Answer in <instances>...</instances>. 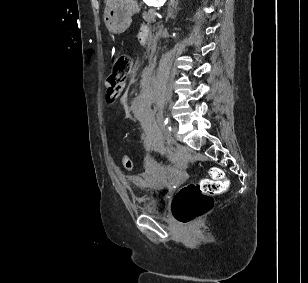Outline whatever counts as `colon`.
<instances>
[{
  "label": "colon",
  "mask_w": 308,
  "mask_h": 283,
  "mask_svg": "<svg viewBox=\"0 0 308 283\" xmlns=\"http://www.w3.org/2000/svg\"><path fill=\"white\" fill-rule=\"evenodd\" d=\"M132 68V59L128 54H117L113 58L111 73L107 81L113 86L124 83ZM123 166L130 170L133 162L129 156L122 158ZM210 177L198 183L188 184L175 195L172 203L173 215L182 224H189L210 211L214 206V197L225 193L229 181L219 168H212Z\"/></svg>",
  "instance_id": "obj_1"
}]
</instances>
